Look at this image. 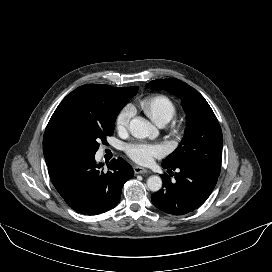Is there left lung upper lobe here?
Wrapping results in <instances>:
<instances>
[{"label": "left lung upper lobe", "instance_id": "5c2ea615", "mask_svg": "<svg viewBox=\"0 0 272 272\" xmlns=\"http://www.w3.org/2000/svg\"><path fill=\"white\" fill-rule=\"evenodd\" d=\"M165 90L182 100L186 112L185 137L163 164H188L219 175L222 157V131L218 120L204 97L178 79H158L147 84Z\"/></svg>", "mask_w": 272, "mask_h": 272}]
</instances>
